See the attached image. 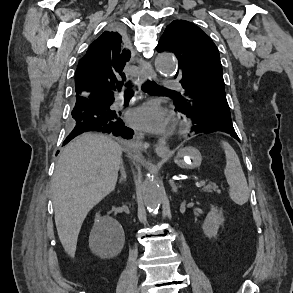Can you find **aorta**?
I'll list each match as a JSON object with an SVG mask.
<instances>
[{"instance_id":"1","label":"aorta","mask_w":293,"mask_h":293,"mask_svg":"<svg viewBox=\"0 0 293 293\" xmlns=\"http://www.w3.org/2000/svg\"><path fill=\"white\" fill-rule=\"evenodd\" d=\"M156 66L163 75H171L176 70L175 57L170 53H160L156 57ZM142 198L149 211L156 213L162 201V192L158 180L147 174L142 185Z\"/></svg>"}]
</instances>
